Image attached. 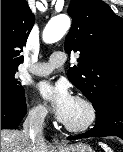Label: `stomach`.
<instances>
[{
  "instance_id": "obj_1",
  "label": "stomach",
  "mask_w": 123,
  "mask_h": 152,
  "mask_svg": "<svg viewBox=\"0 0 123 152\" xmlns=\"http://www.w3.org/2000/svg\"><path fill=\"white\" fill-rule=\"evenodd\" d=\"M57 152H94V150L86 144L78 143L63 148H58Z\"/></svg>"
}]
</instances>
